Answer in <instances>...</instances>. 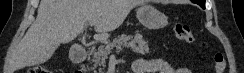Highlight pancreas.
Here are the masks:
<instances>
[{"label":"pancreas","mask_w":244,"mask_h":73,"mask_svg":"<svg viewBox=\"0 0 244 73\" xmlns=\"http://www.w3.org/2000/svg\"><path fill=\"white\" fill-rule=\"evenodd\" d=\"M123 47L130 48L133 52L146 55L149 54L148 42L143 39L140 34L134 36L121 35L115 38L111 43H108L106 47L100 48L93 52V59L96 64L105 66L108 55L115 48L116 52L122 50Z\"/></svg>","instance_id":"obj_1"}]
</instances>
